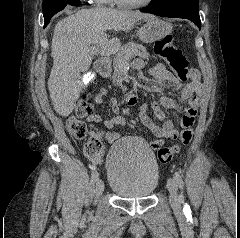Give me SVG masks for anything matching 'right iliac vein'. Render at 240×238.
I'll list each match as a JSON object with an SVG mask.
<instances>
[{"instance_id": "obj_1", "label": "right iliac vein", "mask_w": 240, "mask_h": 238, "mask_svg": "<svg viewBox=\"0 0 240 238\" xmlns=\"http://www.w3.org/2000/svg\"><path fill=\"white\" fill-rule=\"evenodd\" d=\"M103 191H104V182L102 180L98 179L96 182V185H95V192H96L97 198L99 196H101Z\"/></svg>"}]
</instances>
